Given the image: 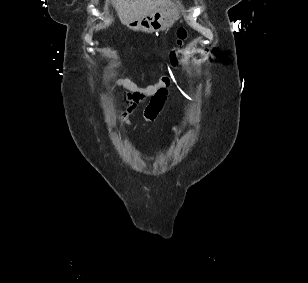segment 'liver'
<instances>
[{
	"instance_id": "obj_1",
	"label": "liver",
	"mask_w": 308,
	"mask_h": 283,
	"mask_svg": "<svg viewBox=\"0 0 308 283\" xmlns=\"http://www.w3.org/2000/svg\"><path fill=\"white\" fill-rule=\"evenodd\" d=\"M122 24L153 13L160 7L172 4L171 0H110Z\"/></svg>"
}]
</instances>
